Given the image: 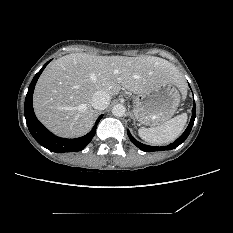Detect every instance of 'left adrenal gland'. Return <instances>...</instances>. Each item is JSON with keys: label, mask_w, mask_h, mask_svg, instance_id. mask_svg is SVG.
<instances>
[{"label": "left adrenal gland", "mask_w": 233, "mask_h": 233, "mask_svg": "<svg viewBox=\"0 0 233 233\" xmlns=\"http://www.w3.org/2000/svg\"><path fill=\"white\" fill-rule=\"evenodd\" d=\"M132 119H133L134 125H135V127H136V122H135V118H134V117H132Z\"/></svg>", "instance_id": "1"}]
</instances>
